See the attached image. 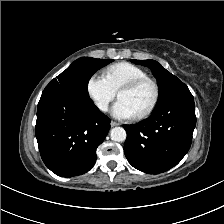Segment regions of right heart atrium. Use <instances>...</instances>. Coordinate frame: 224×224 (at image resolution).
Listing matches in <instances>:
<instances>
[{
	"mask_svg": "<svg viewBox=\"0 0 224 224\" xmlns=\"http://www.w3.org/2000/svg\"><path fill=\"white\" fill-rule=\"evenodd\" d=\"M86 91L93 104L101 112L108 111L110 103L116 96V92L104 75L100 74H93L88 78Z\"/></svg>",
	"mask_w": 224,
	"mask_h": 224,
	"instance_id": "1",
	"label": "right heart atrium"
}]
</instances>
